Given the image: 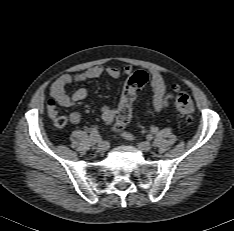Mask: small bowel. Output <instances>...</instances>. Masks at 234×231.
<instances>
[{
  "instance_id": "small-bowel-1",
  "label": "small bowel",
  "mask_w": 234,
  "mask_h": 231,
  "mask_svg": "<svg viewBox=\"0 0 234 231\" xmlns=\"http://www.w3.org/2000/svg\"><path fill=\"white\" fill-rule=\"evenodd\" d=\"M132 71L133 67L130 65L124 66L123 69L115 66L104 67L97 65L76 74L60 76L50 87V98L47 102L49 117L55 118L57 116L56 105L68 108L88 97V90L86 88H79L72 94H68L66 91L68 85L95 79L104 74L113 79H118L122 75H130ZM150 79L153 89L152 107L155 112H160L168 107L172 94L167 91L165 78L160 72L152 70L150 72ZM118 109L116 106H103L101 108V117L105 124L111 125L114 123ZM69 119L72 123H79L82 119V114L79 111H74L70 114Z\"/></svg>"
}]
</instances>
